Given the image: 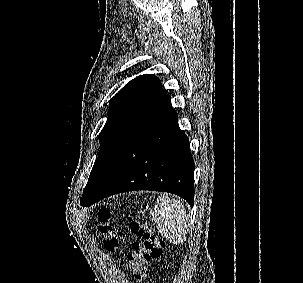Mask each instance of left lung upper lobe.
Instances as JSON below:
<instances>
[{"label": "left lung upper lobe", "instance_id": "left-lung-upper-lobe-1", "mask_svg": "<svg viewBox=\"0 0 303 283\" xmlns=\"http://www.w3.org/2000/svg\"><path fill=\"white\" fill-rule=\"evenodd\" d=\"M162 90L154 75L129 81L110 101L108 118L99 134L100 153L83 195L95 192L109 176L121 152Z\"/></svg>", "mask_w": 303, "mask_h": 283}]
</instances>
